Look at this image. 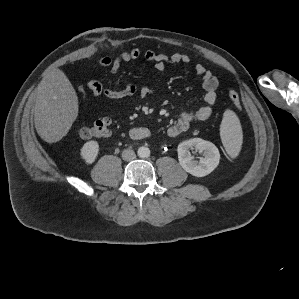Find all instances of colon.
Instances as JSON below:
<instances>
[{
    "label": "colon",
    "instance_id": "5ec220e1",
    "mask_svg": "<svg viewBox=\"0 0 299 299\" xmlns=\"http://www.w3.org/2000/svg\"><path fill=\"white\" fill-rule=\"evenodd\" d=\"M82 91L84 92L83 89ZM229 98L234 108L236 110H239L241 106L240 97L238 92L235 89L229 90ZM110 125H111V118L108 116L102 117L94 121L92 124L88 126H83L78 128L77 134L84 139H90L94 137H104L109 135Z\"/></svg>",
    "mask_w": 299,
    "mask_h": 299
}]
</instances>
